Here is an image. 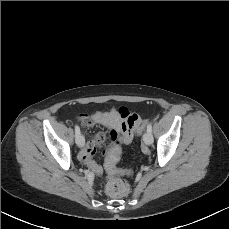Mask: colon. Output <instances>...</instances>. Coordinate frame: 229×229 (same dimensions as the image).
<instances>
[{
	"label": "colon",
	"instance_id": "colon-1",
	"mask_svg": "<svg viewBox=\"0 0 229 229\" xmlns=\"http://www.w3.org/2000/svg\"><path fill=\"white\" fill-rule=\"evenodd\" d=\"M146 122L142 121L138 115H133L128 121L127 129L131 132L139 133L145 128ZM114 139V136L111 137ZM121 151H117L114 155V160L117 162L120 159ZM129 184L122 177L114 176L109 178L106 192L107 194L114 199L124 198L129 194Z\"/></svg>",
	"mask_w": 229,
	"mask_h": 229
}]
</instances>
